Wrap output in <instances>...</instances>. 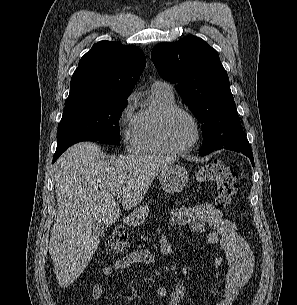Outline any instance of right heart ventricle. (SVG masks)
<instances>
[{
    "instance_id": "right-heart-ventricle-1",
    "label": "right heart ventricle",
    "mask_w": 297,
    "mask_h": 305,
    "mask_svg": "<svg viewBox=\"0 0 297 305\" xmlns=\"http://www.w3.org/2000/svg\"><path fill=\"white\" fill-rule=\"evenodd\" d=\"M172 106H175L174 95L160 88H151L148 105L135 115L134 131L130 140V147L134 153H166L157 140L156 123L160 113Z\"/></svg>"
}]
</instances>
